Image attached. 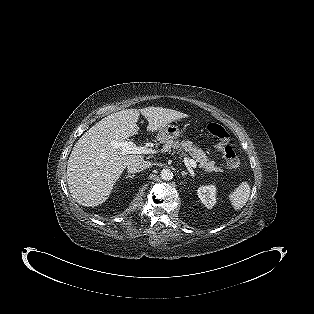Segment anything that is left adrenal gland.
<instances>
[{"mask_svg": "<svg viewBox=\"0 0 314 314\" xmlns=\"http://www.w3.org/2000/svg\"><path fill=\"white\" fill-rule=\"evenodd\" d=\"M188 173L187 172H181L182 177H185Z\"/></svg>", "mask_w": 314, "mask_h": 314, "instance_id": "1", "label": "left adrenal gland"}]
</instances>
